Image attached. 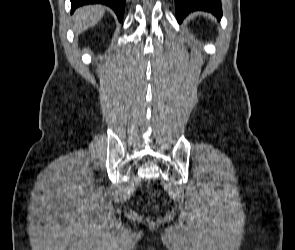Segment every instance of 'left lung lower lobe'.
I'll use <instances>...</instances> for the list:
<instances>
[{
	"instance_id": "0a47b994",
	"label": "left lung lower lobe",
	"mask_w": 295,
	"mask_h": 250,
	"mask_svg": "<svg viewBox=\"0 0 295 250\" xmlns=\"http://www.w3.org/2000/svg\"><path fill=\"white\" fill-rule=\"evenodd\" d=\"M176 17L181 22L187 14L196 10L212 13L218 19L222 16L221 0H175Z\"/></svg>"
}]
</instances>
